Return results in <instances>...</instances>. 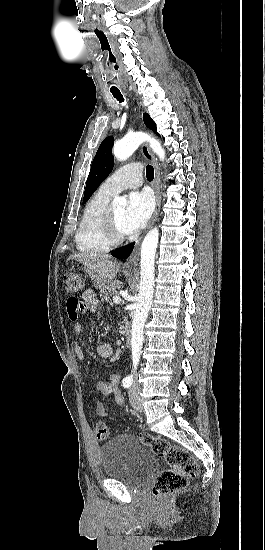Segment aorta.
<instances>
[{"mask_svg": "<svg viewBox=\"0 0 265 550\" xmlns=\"http://www.w3.org/2000/svg\"><path fill=\"white\" fill-rule=\"evenodd\" d=\"M144 141L150 143V147L158 155L159 159L163 161L165 158V151L160 142L143 133L126 135L123 139L114 144L113 154L116 159L124 161L128 159ZM125 204L126 200L123 197H116L113 200L114 206ZM158 241L159 230L155 227L146 234L141 245L140 290L131 331V352L133 365L135 367L140 360L143 346L144 325L153 300L155 253Z\"/></svg>", "mask_w": 265, "mask_h": 550, "instance_id": "762f6f07", "label": "aorta"}]
</instances>
